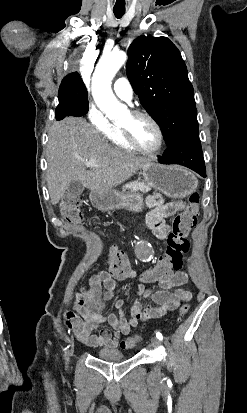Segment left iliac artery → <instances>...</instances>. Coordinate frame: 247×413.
Masks as SVG:
<instances>
[{"label": "left iliac artery", "instance_id": "1", "mask_svg": "<svg viewBox=\"0 0 247 413\" xmlns=\"http://www.w3.org/2000/svg\"><path fill=\"white\" fill-rule=\"evenodd\" d=\"M156 337H157L159 340H163V336H162V334H161L160 332H157V333H156Z\"/></svg>", "mask_w": 247, "mask_h": 413}]
</instances>
